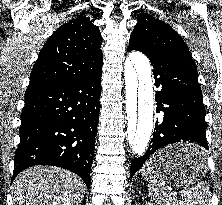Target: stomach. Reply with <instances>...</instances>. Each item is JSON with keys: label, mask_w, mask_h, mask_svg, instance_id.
Returning a JSON list of instances; mask_svg holds the SVG:
<instances>
[{"label": "stomach", "mask_w": 222, "mask_h": 205, "mask_svg": "<svg viewBox=\"0 0 222 205\" xmlns=\"http://www.w3.org/2000/svg\"><path fill=\"white\" fill-rule=\"evenodd\" d=\"M201 148L191 143H178L168 146L160 150L154 158V172L159 181L163 185H184L189 186L201 180L207 171L206 158L203 162L184 166L172 164L170 159L180 151L185 150H200Z\"/></svg>", "instance_id": "0dacf381"}]
</instances>
